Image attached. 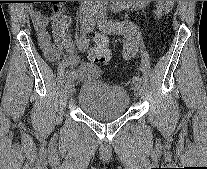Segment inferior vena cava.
Instances as JSON below:
<instances>
[{
	"instance_id": "inferior-vena-cava-1",
	"label": "inferior vena cava",
	"mask_w": 207,
	"mask_h": 169,
	"mask_svg": "<svg viewBox=\"0 0 207 169\" xmlns=\"http://www.w3.org/2000/svg\"><path fill=\"white\" fill-rule=\"evenodd\" d=\"M88 2H90V3H94L95 1H88Z\"/></svg>"
}]
</instances>
